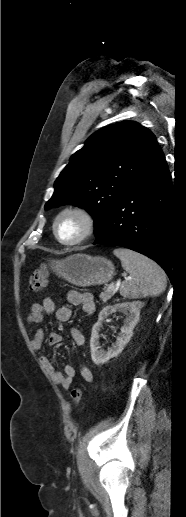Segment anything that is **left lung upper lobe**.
Instances as JSON below:
<instances>
[{
  "label": "left lung upper lobe",
  "mask_w": 186,
  "mask_h": 517,
  "mask_svg": "<svg viewBox=\"0 0 186 517\" xmlns=\"http://www.w3.org/2000/svg\"><path fill=\"white\" fill-rule=\"evenodd\" d=\"M160 150L155 136L136 122L102 128L70 158L45 209L67 203L86 208L94 217L97 235Z\"/></svg>",
  "instance_id": "left-lung-upper-lobe-1"
}]
</instances>
